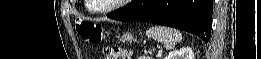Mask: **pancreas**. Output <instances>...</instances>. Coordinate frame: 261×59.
<instances>
[{
    "instance_id": "obj_1",
    "label": "pancreas",
    "mask_w": 261,
    "mask_h": 59,
    "mask_svg": "<svg viewBox=\"0 0 261 59\" xmlns=\"http://www.w3.org/2000/svg\"><path fill=\"white\" fill-rule=\"evenodd\" d=\"M141 59H150V57H140Z\"/></svg>"
}]
</instances>
